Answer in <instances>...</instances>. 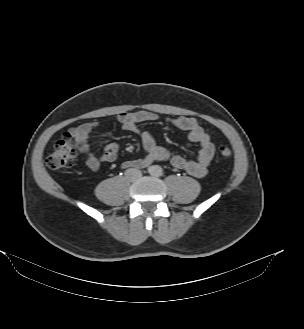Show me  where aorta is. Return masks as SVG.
I'll use <instances>...</instances> for the list:
<instances>
[{
  "mask_svg": "<svg viewBox=\"0 0 304 329\" xmlns=\"http://www.w3.org/2000/svg\"><path fill=\"white\" fill-rule=\"evenodd\" d=\"M150 173L154 176H160L162 174V168L158 165L152 166Z\"/></svg>",
  "mask_w": 304,
  "mask_h": 329,
  "instance_id": "1",
  "label": "aorta"
}]
</instances>
